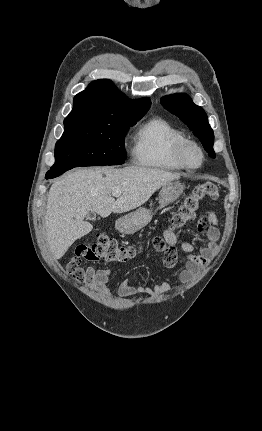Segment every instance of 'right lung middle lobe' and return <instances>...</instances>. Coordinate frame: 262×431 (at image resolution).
Here are the masks:
<instances>
[{
	"mask_svg": "<svg viewBox=\"0 0 262 431\" xmlns=\"http://www.w3.org/2000/svg\"><path fill=\"white\" fill-rule=\"evenodd\" d=\"M142 117L64 124L65 131L56 143L55 163L50 170L123 164L124 136Z\"/></svg>",
	"mask_w": 262,
	"mask_h": 431,
	"instance_id": "dd1d6c3e",
	"label": "right lung middle lobe"
}]
</instances>
